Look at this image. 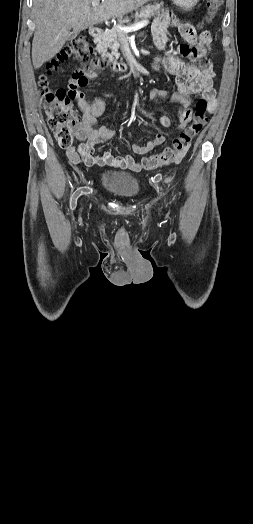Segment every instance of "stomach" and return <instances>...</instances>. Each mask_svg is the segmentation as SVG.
<instances>
[{
  "instance_id": "0dacf381",
  "label": "stomach",
  "mask_w": 253,
  "mask_h": 524,
  "mask_svg": "<svg viewBox=\"0 0 253 524\" xmlns=\"http://www.w3.org/2000/svg\"><path fill=\"white\" fill-rule=\"evenodd\" d=\"M199 0H172V2L184 10H190L192 9Z\"/></svg>"
}]
</instances>
